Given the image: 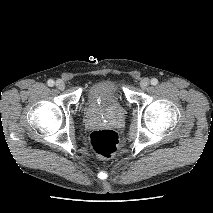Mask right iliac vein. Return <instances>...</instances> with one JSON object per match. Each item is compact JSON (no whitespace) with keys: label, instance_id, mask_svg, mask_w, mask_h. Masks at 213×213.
<instances>
[{"label":"right iliac vein","instance_id":"right-iliac-vein-1","mask_svg":"<svg viewBox=\"0 0 213 213\" xmlns=\"http://www.w3.org/2000/svg\"><path fill=\"white\" fill-rule=\"evenodd\" d=\"M55 85H56V87L59 90H64L65 89V83L62 80H57L56 83H55Z\"/></svg>","mask_w":213,"mask_h":213}]
</instances>
